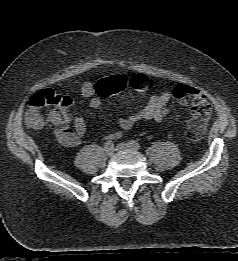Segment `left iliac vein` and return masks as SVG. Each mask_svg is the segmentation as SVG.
I'll return each mask as SVG.
<instances>
[{
	"mask_svg": "<svg viewBox=\"0 0 238 261\" xmlns=\"http://www.w3.org/2000/svg\"><path fill=\"white\" fill-rule=\"evenodd\" d=\"M126 149H132L135 150L130 144L128 143H120L116 146V150H126Z\"/></svg>",
	"mask_w": 238,
	"mask_h": 261,
	"instance_id": "left-iliac-vein-1",
	"label": "left iliac vein"
}]
</instances>
